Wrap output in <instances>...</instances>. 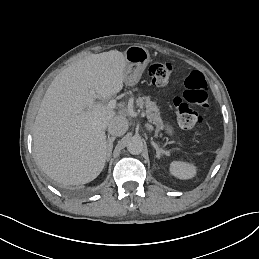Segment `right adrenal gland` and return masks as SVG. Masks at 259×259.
Here are the masks:
<instances>
[{
	"instance_id": "obj_1",
	"label": "right adrenal gland",
	"mask_w": 259,
	"mask_h": 259,
	"mask_svg": "<svg viewBox=\"0 0 259 259\" xmlns=\"http://www.w3.org/2000/svg\"><path fill=\"white\" fill-rule=\"evenodd\" d=\"M114 139H115L114 137H108V140H107L108 153H111Z\"/></svg>"
}]
</instances>
